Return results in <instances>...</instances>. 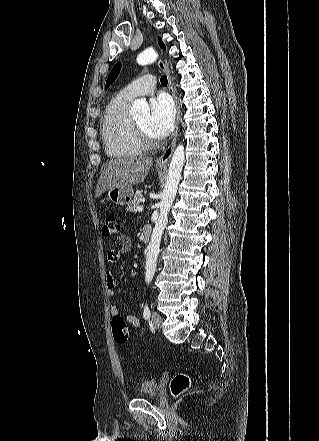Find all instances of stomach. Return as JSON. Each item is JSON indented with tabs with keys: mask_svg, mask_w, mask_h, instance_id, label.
Wrapping results in <instances>:
<instances>
[{
	"mask_svg": "<svg viewBox=\"0 0 319 441\" xmlns=\"http://www.w3.org/2000/svg\"><path fill=\"white\" fill-rule=\"evenodd\" d=\"M133 194L134 189L130 185L113 187L107 190V200L116 205H127L131 202Z\"/></svg>",
	"mask_w": 319,
	"mask_h": 441,
	"instance_id": "obj_1",
	"label": "stomach"
}]
</instances>
